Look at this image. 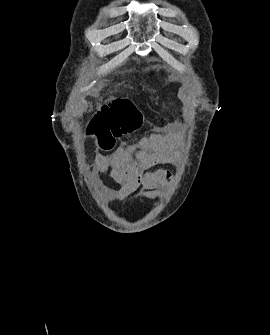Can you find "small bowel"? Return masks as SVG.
Listing matches in <instances>:
<instances>
[{"label":"small bowel","instance_id":"1","mask_svg":"<svg viewBox=\"0 0 270 335\" xmlns=\"http://www.w3.org/2000/svg\"><path fill=\"white\" fill-rule=\"evenodd\" d=\"M178 138V127L169 123L155 128L136 142L123 143L112 154H96L93 178L103 175L120 185L119 189H107L110 200H122L138 188L144 190L143 199L154 200L157 191L172 180L169 170L157 167L177 160Z\"/></svg>","mask_w":270,"mask_h":335}]
</instances>
